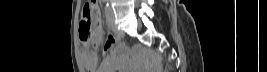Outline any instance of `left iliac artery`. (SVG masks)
Listing matches in <instances>:
<instances>
[{
	"mask_svg": "<svg viewBox=\"0 0 267 72\" xmlns=\"http://www.w3.org/2000/svg\"><path fill=\"white\" fill-rule=\"evenodd\" d=\"M109 4L107 3L106 4V8H105V14H106V18H107V21H108V19H109Z\"/></svg>",
	"mask_w": 267,
	"mask_h": 72,
	"instance_id": "obj_1",
	"label": "left iliac artery"
}]
</instances>
